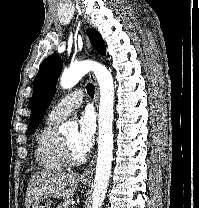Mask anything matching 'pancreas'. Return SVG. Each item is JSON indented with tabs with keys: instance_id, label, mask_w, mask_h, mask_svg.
I'll return each instance as SVG.
<instances>
[{
	"instance_id": "pancreas-1",
	"label": "pancreas",
	"mask_w": 199,
	"mask_h": 208,
	"mask_svg": "<svg viewBox=\"0 0 199 208\" xmlns=\"http://www.w3.org/2000/svg\"><path fill=\"white\" fill-rule=\"evenodd\" d=\"M71 200L65 199L62 203H60L57 208H69Z\"/></svg>"
}]
</instances>
